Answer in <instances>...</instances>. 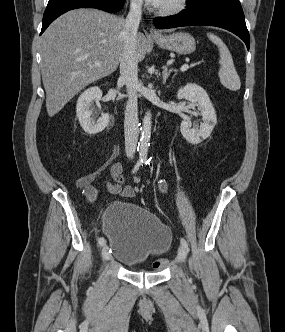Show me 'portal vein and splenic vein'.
<instances>
[{
  "label": "portal vein and splenic vein",
  "instance_id": "portal-vein-and-splenic-vein-1",
  "mask_svg": "<svg viewBox=\"0 0 285 332\" xmlns=\"http://www.w3.org/2000/svg\"><path fill=\"white\" fill-rule=\"evenodd\" d=\"M96 67H99L100 64H95ZM189 68V65L188 64H184L181 66L180 70L181 71H186L187 69Z\"/></svg>",
  "mask_w": 285,
  "mask_h": 332
}]
</instances>
